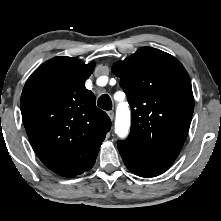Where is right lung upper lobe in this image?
Masks as SVG:
<instances>
[{"instance_id":"obj_1","label":"right lung upper lobe","mask_w":221,"mask_h":221,"mask_svg":"<svg viewBox=\"0 0 221 221\" xmlns=\"http://www.w3.org/2000/svg\"><path fill=\"white\" fill-rule=\"evenodd\" d=\"M94 67L93 62L54 57L32 73L22 92V119L36 155L65 177L92 168L111 127L85 88Z\"/></svg>"}]
</instances>
